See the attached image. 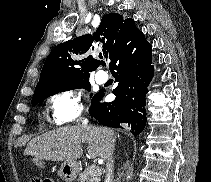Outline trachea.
<instances>
[{
	"label": "trachea",
	"mask_w": 211,
	"mask_h": 182,
	"mask_svg": "<svg viewBox=\"0 0 211 182\" xmlns=\"http://www.w3.org/2000/svg\"><path fill=\"white\" fill-rule=\"evenodd\" d=\"M103 65L105 66V65H106V63H105V62H103Z\"/></svg>",
	"instance_id": "1"
}]
</instances>
